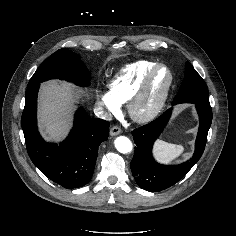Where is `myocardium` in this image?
Returning a JSON list of instances; mask_svg holds the SVG:
<instances>
[{"label":"myocardium","mask_w":236,"mask_h":236,"mask_svg":"<svg viewBox=\"0 0 236 236\" xmlns=\"http://www.w3.org/2000/svg\"><path fill=\"white\" fill-rule=\"evenodd\" d=\"M160 70H165L167 72L168 78L165 84V87L158 98V100L155 102V104L148 110L142 111L141 105L147 95L148 89L150 87V84L154 78V76L159 72ZM173 85V74L169 67H167L164 64H157L154 66L144 77L143 81L141 82L139 88L131 98V100L128 103V113L130 117L137 123L145 124L153 121L158 117V115L163 110L169 93L171 91Z\"/></svg>","instance_id":"myocardium-1"}]
</instances>
